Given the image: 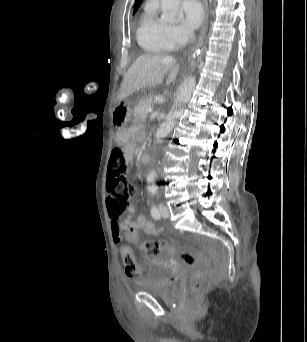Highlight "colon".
Wrapping results in <instances>:
<instances>
[{
	"mask_svg": "<svg viewBox=\"0 0 307 342\" xmlns=\"http://www.w3.org/2000/svg\"><path fill=\"white\" fill-rule=\"evenodd\" d=\"M127 164L123 152L120 148H114L111 152L108 176H107V191L111 198L110 213L117 219L120 218L130 209L131 198L135 192L134 184L129 181L125 174L127 172ZM126 232L128 240L135 242L137 240L135 227L127 226ZM167 244L163 241H148L139 246L141 251H144L148 256H158L160 251L165 249ZM169 253L175 256L180 251L178 246H169ZM121 254H125L124 264L127 277L134 283L140 280L141 270L135 265V259L132 255L133 249L130 243H123L120 249ZM181 261L184 263V268H191V281L187 282L188 288H201L202 283L206 282L205 266H199V261L188 252L181 253Z\"/></svg>",
	"mask_w": 307,
	"mask_h": 342,
	"instance_id": "5ec220e1",
	"label": "colon"
}]
</instances>
